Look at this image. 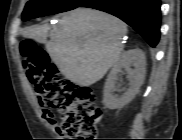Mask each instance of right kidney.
Returning <instances> with one entry per match:
<instances>
[{
    "label": "right kidney",
    "mask_w": 182,
    "mask_h": 140,
    "mask_svg": "<svg viewBox=\"0 0 182 140\" xmlns=\"http://www.w3.org/2000/svg\"><path fill=\"white\" fill-rule=\"evenodd\" d=\"M133 66V69L131 68ZM125 70L129 77V88L122 95H115L118 74ZM146 73V58L141 49H133L123 54L112 67L105 86L103 104L109 109L122 108L128 104L139 92Z\"/></svg>",
    "instance_id": "obj_1"
}]
</instances>
